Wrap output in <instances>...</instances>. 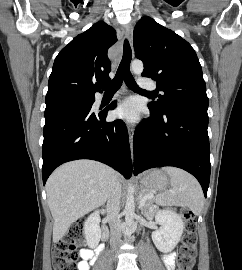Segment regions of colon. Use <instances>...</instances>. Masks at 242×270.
Here are the masks:
<instances>
[{"instance_id": "5ec220e1", "label": "colon", "mask_w": 242, "mask_h": 270, "mask_svg": "<svg viewBox=\"0 0 242 270\" xmlns=\"http://www.w3.org/2000/svg\"><path fill=\"white\" fill-rule=\"evenodd\" d=\"M185 219V231L178 257V270H192L197 245V234L193 213L181 211ZM84 240V223L76 222L70 226L65 235L57 242L53 254L54 270H76L78 255L76 246Z\"/></svg>"}]
</instances>
